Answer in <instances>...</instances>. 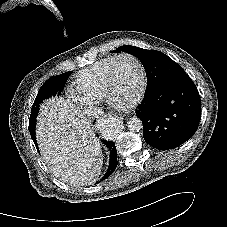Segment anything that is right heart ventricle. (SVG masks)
<instances>
[{"label": "right heart ventricle", "mask_w": 227, "mask_h": 227, "mask_svg": "<svg viewBox=\"0 0 227 227\" xmlns=\"http://www.w3.org/2000/svg\"><path fill=\"white\" fill-rule=\"evenodd\" d=\"M117 56H107L81 71L74 80V87L82 97L100 101L105 96V80L109 67Z\"/></svg>", "instance_id": "obj_1"}]
</instances>
